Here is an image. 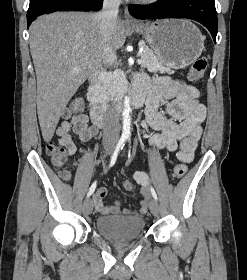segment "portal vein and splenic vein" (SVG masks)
<instances>
[{"label":"portal vein and splenic vein","instance_id":"portal-vein-and-splenic-vein-1","mask_svg":"<svg viewBox=\"0 0 247 280\" xmlns=\"http://www.w3.org/2000/svg\"><path fill=\"white\" fill-rule=\"evenodd\" d=\"M141 51H142V49H141ZM141 51L138 53V56H140ZM137 62H138V64H141L143 62V60L140 58V59L137 60Z\"/></svg>","mask_w":247,"mask_h":280}]
</instances>
